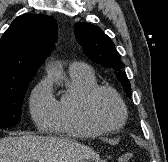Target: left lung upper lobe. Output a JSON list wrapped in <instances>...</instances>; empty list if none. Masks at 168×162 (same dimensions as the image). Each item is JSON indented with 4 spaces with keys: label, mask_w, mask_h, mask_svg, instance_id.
Instances as JSON below:
<instances>
[{
    "label": "left lung upper lobe",
    "mask_w": 168,
    "mask_h": 162,
    "mask_svg": "<svg viewBox=\"0 0 168 162\" xmlns=\"http://www.w3.org/2000/svg\"><path fill=\"white\" fill-rule=\"evenodd\" d=\"M74 28L76 40L85 54L92 61L112 71L123 86L127 96L130 97V82L125 72H122L124 65L112 40L100 28L91 24L78 22Z\"/></svg>",
    "instance_id": "left-lung-upper-lobe-1"
}]
</instances>
